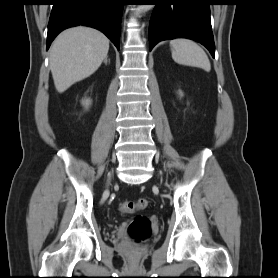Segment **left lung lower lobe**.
Returning a JSON list of instances; mask_svg holds the SVG:
<instances>
[{
  "label": "left lung lower lobe",
  "mask_w": 278,
  "mask_h": 278,
  "mask_svg": "<svg viewBox=\"0 0 278 278\" xmlns=\"http://www.w3.org/2000/svg\"><path fill=\"white\" fill-rule=\"evenodd\" d=\"M155 8L149 25L150 50L162 40L188 38L204 45L214 57L211 0H150Z\"/></svg>",
  "instance_id": "left-lung-lower-lobe-1"
}]
</instances>
